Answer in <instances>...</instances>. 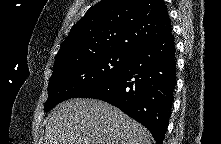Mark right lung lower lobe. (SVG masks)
<instances>
[{"label": "right lung lower lobe", "instance_id": "98d812e1", "mask_svg": "<svg viewBox=\"0 0 221 144\" xmlns=\"http://www.w3.org/2000/svg\"><path fill=\"white\" fill-rule=\"evenodd\" d=\"M175 43L170 31L133 53L112 78L80 98L108 102L152 133L162 144L171 114L176 85Z\"/></svg>", "mask_w": 221, "mask_h": 144}]
</instances>
